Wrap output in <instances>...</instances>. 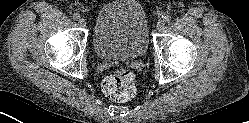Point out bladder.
<instances>
[{"mask_svg": "<svg viewBox=\"0 0 249 123\" xmlns=\"http://www.w3.org/2000/svg\"><path fill=\"white\" fill-rule=\"evenodd\" d=\"M95 53L104 59H133L149 46L148 18L138 0H109L96 13L92 31Z\"/></svg>", "mask_w": 249, "mask_h": 123, "instance_id": "obj_1", "label": "bladder"}]
</instances>
